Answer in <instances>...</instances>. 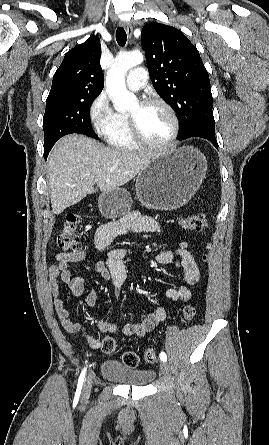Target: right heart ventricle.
Wrapping results in <instances>:
<instances>
[{"label":"right heart ventricle","mask_w":269,"mask_h":445,"mask_svg":"<svg viewBox=\"0 0 269 445\" xmlns=\"http://www.w3.org/2000/svg\"><path fill=\"white\" fill-rule=\"evenodd\" d=\"M105 140L112 147L123 151H136L140 146L134 140L125 113H115L112 121L102 131Z\"/></svg>","instance_id":"right-heart-ventricle-1"}]
</instances>
